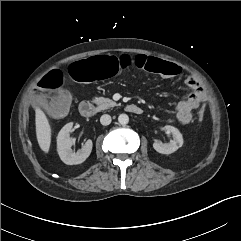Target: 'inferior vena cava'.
I'll return each mask as SVG.
<instances>
[{"instance_id":"obj_1","label":"inferior vena cava","mask_w":241,"mask_h":241,"mask_svg":"<svg viewBox=\"0 0 241 241\" xmlns=\"http://www.w3.org/2000/svg\"><path fill=\"white\" fill-rule=\"evenodd\" d=\"M100 123L104 126H107L111 123V116L108 114H104L100 118Z\"/></svg>"}]
</instances>
